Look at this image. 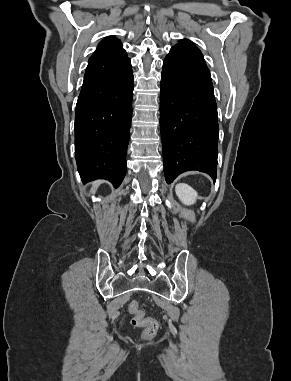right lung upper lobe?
Masks as SVG:
<instances>
[{
    "label": "right lung upper lobe",
    "instance_id": "cb5924a9",
    "mask_svg": "<svg viewBox=\"0 0 291 381\" xmlns=\"http://www.w3.org/2000/svg\"><path fill=\"white\" fill-rule=\"evenodd\" d=\"M122 43L114 36H110L102 40L95 52L109 51V50H122ZM94 52V53H95Z\"/></svg>",
    "mask_w": 291,
    "mask_h": 381
}]
</instances>
